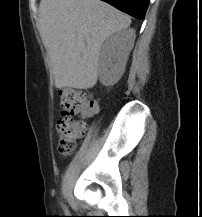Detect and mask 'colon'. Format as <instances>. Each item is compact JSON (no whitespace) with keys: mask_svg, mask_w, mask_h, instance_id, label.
Returning a JSON list of instances; mask_svg holds the SVG:
<instances>
[{"mask_svg":"<svg viewBox=\"0 0 202 217\" xmlns=\"http://www.w3.org/2000/svg\"><path fill=\"white\" fill-rule=\"evenodd\" d=\"M60 99L63 112L56 125L58 150L63 156H69L87 129L86 122L75 119L74 110L78 106L91 104L92 100L86 92L71 88L62 89Z\"/></svg>","mask_w":202,"mask_h":217,"instance_id":"colon-1","label":"colon"}]
</instances>
